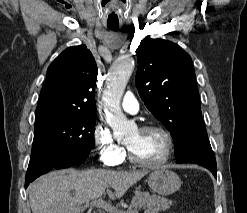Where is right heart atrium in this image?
Segmentation results:
<instances>
[{
  "label": "right heart atrium",
  "instance_id": "1",
  "mask_svg": "<svg viewBox=\"0 0 247 213\" xmlns=\"http://www.w3.org/2000/svg\"><path fill=\"white\" fill-rule=\"evenodd\" d=\"M93 144L100 161L108 167L120 165L125 159V149L113 138L111 131L104 124H97L93 131Z\"/></svg>",
  "mask_w": 247,
  "mask_h": 213
}]
</instances>
